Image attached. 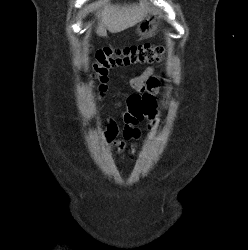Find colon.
I'll use <instances>...</instances> for the list:
<instances>
[{"instance_id": "obj_1", "label": "colon", "mask_w": 248, "mask_h": 250, "mask_svg": "<svg viewBox=\"0 0 248 250\" xmlns=\"http://www.w3.org/2000/svg\"><path fill=\"white\" fill-rule=\"evenodd\" d=\"M164 48L160 45L138 44L114 49L104 47L96 50L94 80L98 93L106 91L108 71L126 65L151 64L162 60ZM128 108L139 119L151 115L155 109L154 96L149 93H135L128 97Z\"/></svg>"}]
</instances>
